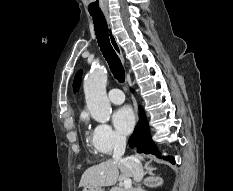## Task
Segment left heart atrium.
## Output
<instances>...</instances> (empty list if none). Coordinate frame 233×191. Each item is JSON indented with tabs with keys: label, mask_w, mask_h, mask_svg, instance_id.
Instances as JSON below:
<instances>
[{
	"label": "left heart atrium",
	"mask_w": 233,
	"mask_h": 191,
	"mask_svg": "<svg viewBox=\"0 0 233 191\" xmlns=\"http://www.w3.org/2000/svg\"><path fill=\"white\" fill-rule=\"evenodd\" d=\"M113 124L122 135L129 134L135 125V116L129 106L120 107L113 114Z\"/></svg>",
	"instance_id": "left-heart-atrium-1"
}]
</instances>
